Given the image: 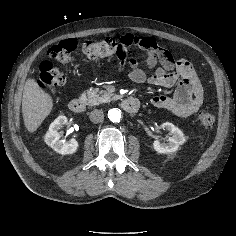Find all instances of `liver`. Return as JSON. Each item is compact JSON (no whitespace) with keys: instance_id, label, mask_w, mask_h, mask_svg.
Masks as SVG:
<instances>
[{"instance_id":"1","label":"liver","mask_w":236,"mask_h":236,"mask_svg":"<svg viewBox=\"0 0 236 236\" xmlns=\"http://www.w3.org/2000/svg\"><path fill=\"white\" fill-rule=\"evenodd\" d=\"M53 109L52 97L37 82L29 78L22 97V114L26 129L35 132Z\"/></svg>"}]
</instances>
